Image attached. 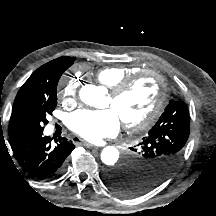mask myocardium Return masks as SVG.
<instances>
[{
  "label": "myocardium",
  "mask_w": 216,
  "mask_h": 216,
  "mask_svg": "<svg viewBox=\"0 0 216 216\" xmlns=\"http://www.w3.org/2000/svg\"><path fill=\"white\" fill-rule=\"evenodd\" d=\"M145 75H152L157 79L159 83L158 96L154 105L152 106L151 110L149 111L146 117L133 123L123 121L125 129L128 131H132V132L142 131L148 128L149 126H151L155 122L156 118L158 117L159 113L162 111L166 103V99L168 95L167 81L159 71L154 69H147V70L138 71L126 77L110 90V97L114 101H116L125 92H127L139 79H141Z\"/></svg>",
  "instance_id": "myocardium-1"
}]
</instances>
